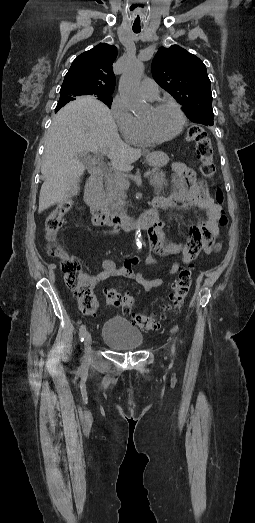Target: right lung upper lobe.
<instances>
[{
	"label": "right lung upper lobe",
	"mask_w": 255,
	"mask_h": 523,
	"mask_svg": "<svg viewBox=\"0 0 255 523\" xmlns=\"http://www.w3.org/2000/svg\"><path fill=\"white\" fill-rule=\"evenodd\" d=\"M116 57L117 48L106 43L82 53L65 75L60 92L74 96H111L116 83L112 68ZM68 102L59 100L55 112Z\"/></svg>",
	"instance_id": "cb5924a9"
}]
</instances>
